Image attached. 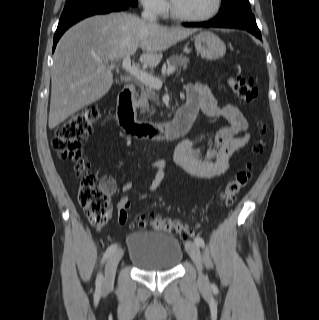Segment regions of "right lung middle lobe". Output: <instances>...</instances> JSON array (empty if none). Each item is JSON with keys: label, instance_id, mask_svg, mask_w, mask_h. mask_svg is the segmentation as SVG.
<instances>
[{"label": "right lung middle lobe", "instance_id": "1", "mask_svg": "<svg viewBox=\"0 0 319 320\" xmlns=\"http://www.w3.org/2000/svg\"><path fill=\"white\" fill-rule=\"evenodd\" d=\"M106 3H127L134 6L138 4L137 0H66L60 20L87 8Z\"/></svg>", "mask_w": 319, "mask_h": 320}]
</instances>
